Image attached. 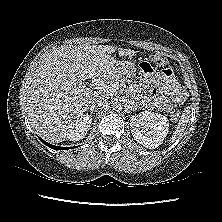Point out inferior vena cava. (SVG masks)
Segmentation results:
<instances>
[{"label":"inferior vena cava","instance_id":"inferior-vena-cava-1","mask_svg":"<svg viewBox=\"0 0 222 222\" xmlns=\"http://www.w3.org/2000/svg\"><path fill=\"white\" fill-rule=\"evenodd\" d=\"M90 111L95 112L99 108H103L108 105V99L105 95L103 94H95L91 99H90Z\"/></svg>","mask_w":222,"mask_h":222}]
</instances>
